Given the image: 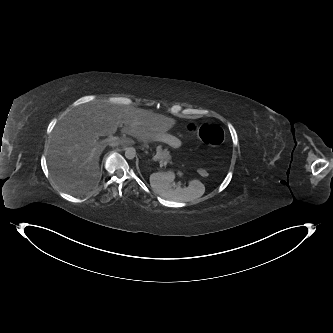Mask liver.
<instances>
[{"instance_id": "liver-1", "label": "liver", "mask_w": 333, "mask_h": 333, "mask_svg": "<svg viewBox=\"0 0 333 333\" xmlns=\"http://www.w3.org/2000/svg\"><path fill=\"white\" fill-rule=\"evenodd\" d=\"M175 120L129 103L94 100L74 108L54 128L48 146V165L54 182L66 192L84 194L100 179L99 158L107 145L163 141ZM124 125V126H123ZM121 127L123 136L109 141ZM107 139L98 141L99 137Z\"/></svg>"}]
</instances>
